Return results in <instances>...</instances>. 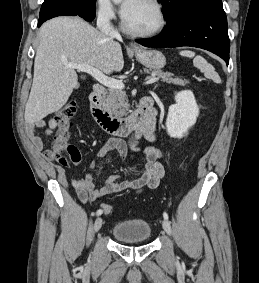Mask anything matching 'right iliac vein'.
I'll return each mask as SVG.
<instances>
[{
	"mask_svg": "<svg viewBox=\"0 0 259 283\" xmlns=\"http://www.w3.org/2000/svg\"><path fill=\"white\" fill-rule=\"evenodd\" d=\"M102 224H103V220L101 217H98L96 220H95V223H94V227H93V231L94 233L98 232L100 230V228L102 227Z\"/></svg>",
	"mask_w": 259,
	"mask_h": 283,
	"instance_id": "obj_1",
	"label": "right iliac vein"
}]
</instances>
